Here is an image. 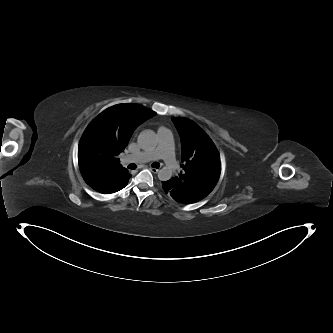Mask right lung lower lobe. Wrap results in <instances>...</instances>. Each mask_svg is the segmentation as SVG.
<instances>
[{
  "mask_svg": "<svg viewBox=\"0 0 333 333\" xmlns=\"http://www.w3.org/2000/svg\"><path fill=\"white\" fill-rule=\"evenodd\" d=\"M85 182L94 190L100 193H113L123 189L131 175L128 173L124 178L120 179L118 182H113L111 180L100 182L99 179L94 175L93 167L86 168L81 173Z\"/></svg>",
  "mask_w": 333,
  "mask_h": 333,
  "instance_id": "obj_1",
  "label": "right lung lower lobe"
}]
</instances>
